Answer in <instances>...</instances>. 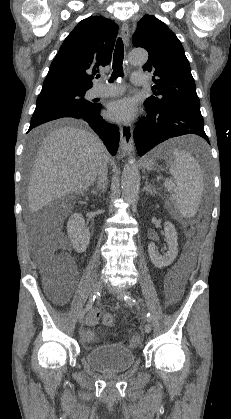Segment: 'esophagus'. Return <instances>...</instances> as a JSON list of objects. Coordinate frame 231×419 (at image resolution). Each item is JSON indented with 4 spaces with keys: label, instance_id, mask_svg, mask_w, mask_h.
<instances>
[{
    "label": "esophagus",
    "instance_id": "obj_1",
    "mask_svg": "<svg viewBox=\"0 0 231 419\" xmlns=\"http://www.w3.org/2000/svg\"><path fill=\"white\" fill-rule=\"evenodd\" d=\"M121 36L126 46L129 44V27L127 23H123L121 26ZM120 153L123 156L134 154V143H133V130L132 126L128 123H124L120 127Z\"/></svg>",
    "mask_w": 231,
    "mask_h": 419
}]
</instances>
